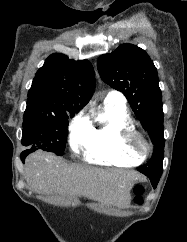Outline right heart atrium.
I'll list each match as a JSON object with an SVG mask.
<instances>
[{
    "instance_id": "right-heart-atrium-1",
    "label": "right heart atrium",
    "mask_w": 187,
    "mask_h": 242,
    "mask_svg": "<svg viewBox=\"0 0 187 242\" xmlns=\"http://www.w3.org/2000/svg\"><path fill=\"white\" fill-rule=\"evenodd\" d=\"M90 134L88 119L83 115H77L69 127V143L71 149L78 152L86 144Z\"/></svg>"
}]
</instances>
